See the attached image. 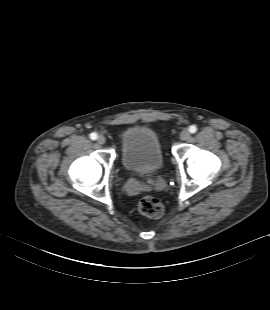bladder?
Masks as SVG:
<instances>
[{
	"label": "bladder",
	"instance_id": "31cf9c89",
	"mask_svg": "<svg viewBox=\"0 0 270 310\" xmlns=\"http://www.w3.org/2000/svg\"><path fill=\"white\" fill-rule=\"evenodd\" d=\"M120 159L123 167L130 172L156 174L164 164L158 135L147 127L128 128L121 136Z\"/></svg>",
	"mask_w": 270,
	"mask_h": 310
}]
</instances>
